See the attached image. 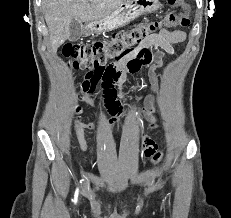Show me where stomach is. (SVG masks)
I'll list each match as a JSON object with an SVG mask.
<instances>
[{
    "label": "stomach",
    "instance_id": "0dacf381",
    "mask_svg": "<svg viewBox=\"0 0 231 218\" xmlns=\"http://www.w3.org/2000/svg\"><path fill=\"white\" fill-rule=\"evenodd\" d=\"M159 6V0H125L109 16L88 23L86 33L87 35L101 34L122 27L145 13L156 11Z\"/></svg>",
    "mask_w": 231,
    "mask_h": 218
}]
</instances>
